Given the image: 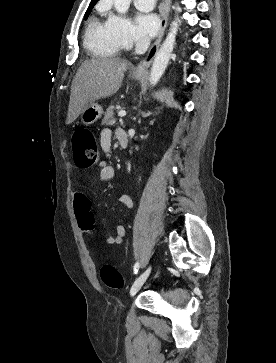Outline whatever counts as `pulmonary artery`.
I'll return each instance as SVG.
<instances>
[{
  "mask_svg": "<svg viewBox=\"0 0 276 363\" xmlns=\"http://www.w3.org/2000/svg\"><path fill=\"white\" fill-rule=\"evenodd\" d=\"M155 0H134L135 6L142 11L148 12L154 8Z\"/></svg>",
  "mask_w": 276,
  "mask_h": 363,
  "instance_id": "obj_1",
  "label": "pulmonary artery"
}]
</instances>
